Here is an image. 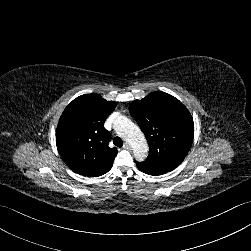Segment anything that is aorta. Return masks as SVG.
<instances>
[{"instance_id": "aorta-1", "label": "aorta", "mask_w": 251, "mask_h": 251, "mask_svg": "<svg viewBox=\"0 0 251 251\" xmlns=\"http://www.w3.org/2000/svg\"><path fill=\"white\" fill-rule=\"evenodd\" d=\"M113 128L119 137L132 146L135 159L144 161L148 154V144L140 128L124 115L114 120Z\"/></svg>"}]
</instances>
